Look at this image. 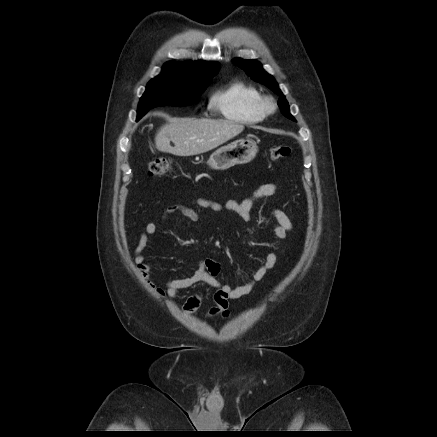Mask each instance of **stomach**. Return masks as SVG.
Returning a JSON list of instances; mask_svg holds the SVG:
<instances>
[{"mask_svg":"<svg viewBox=\"0 0 437 437\" xmlns=\"http://www.w3.org/2000/svg\"><path fill=\"white\" fill-rule=\"evenodd\" d=\"M258 152L256 142L237 140L214 151L207 164L215 170H226L236 164H244L253 160Z\"/></svg>","mask_w":437,"mask_h":437,"instance_id":"1","label":"stomach"}]
</instances>
